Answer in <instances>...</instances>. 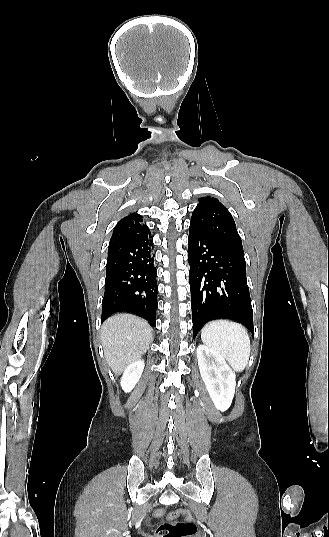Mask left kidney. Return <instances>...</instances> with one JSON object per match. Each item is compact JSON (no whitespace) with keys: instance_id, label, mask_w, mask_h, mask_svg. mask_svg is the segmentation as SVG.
Returning a JSON list of instances; mask_svg holds the SVG:
<instances>
[{"instance_id":"1","label":"left kidney","mask_w":329,"mask_h":537,"mask_svg":"<svg viewBox=\"0 0 329 537\" xmlns=\"http://www.w3.org/2000/svg\"><path fill=\"white\" fill-rule=\"evenodd\" d=\"M196 352L200 374L206 389L216 409L224 412L231 406L234 397L235 373L215 350L199 345Z\"/></svg>"}]
</instances>
